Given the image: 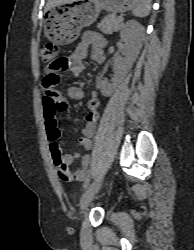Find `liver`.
I'll return each instance as SVG.
<instances>
[{
  "mask_svg": "<svg viewBox=\"0 0 194 250\" xmlns=\"http://www.w3.org/2000/svg\"><path fill=\"white\" fill-rule=\"evenodd\" d=\"M81 0H49L48 3L46 4V10H49L51 7L56 6V5H63V4H70L73 2H77Z\"/></svg>",
  "mask_w": 194,
  "mask_h": 250,
  "instance_id": "6515ba94",
  "label": "liver"
}]
</instances>
